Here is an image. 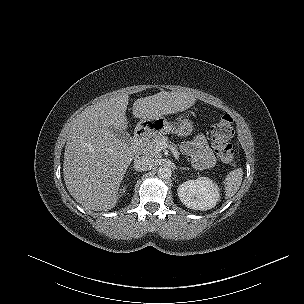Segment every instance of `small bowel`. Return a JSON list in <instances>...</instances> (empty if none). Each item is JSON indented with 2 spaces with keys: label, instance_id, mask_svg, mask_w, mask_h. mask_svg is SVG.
<instances>
[{
  "label": "small bowel",
  "instance_id": "c3829d8e",
  "mask_svg": "<svg viewBox=\"0 0 304 304\" xmlns=\"http://www.w3.org/2000/svg\"><path fill=\"white\" fill-rule=\"evenodd\" d=\"M185 152L190 156L194 167L202 169L214 164L215 158L204 137H197L184 145Z\"/></svg>",
  "mask_w": 304,
  "mask_h": 304
}]
</instances>
